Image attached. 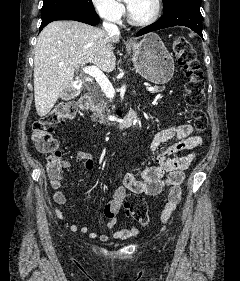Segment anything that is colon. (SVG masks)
Instances as JSON below:
<instances>
[{"instance_id": "5ec220e1", "label": "colon", "mask_w": 240, "mask_h": 281, "mask_svg": "<svg viewBox=\"0 0 240 281\" xmlns=\"http://www.w3.org/2000/svg\"><path fill=\"white\" fill-rule=\"evenodd\" d=\"M173 51L186 75L184 86L186 105L191 110L196 131L203 133L208 127V118L200 109L204 100V80L195 50L187 38L177 36L173 42ZM76 111L77 106L74 101H62L33 125L32 139L36 149L45 155L48 172L52 175L59 173L62 164L58 142L52 133L53 128L72 119ZM123 206L126 212L140 224L146 225L149 222L148 208L143 198L128 195L123 201Z\"/></svg>"}]
</instances>
